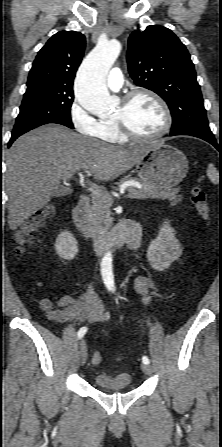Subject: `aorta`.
I'll use <instances>...</instances> for the list:
<instances>
[{
    "label": "aorta",
    "instance_id": "1",
    "mask_svg": "<svg viewBox=\"0 0 222 447\" xmlns=\"http://www.w3.org/2000/svg\"><path fill=\"white\" fill-rule=\"evenodd\" d=\"M121 43L118 40L100 41L83 60L76 78L75 98L87 111L103 115L111 111L113 99L110 96L105 78L119 56ZM104 260L111 264V253ZM106 281H112V272L105 276Z\"/></svg>",
    "mask_w": 222,
    "mask_h": 447
}]
</instances>
